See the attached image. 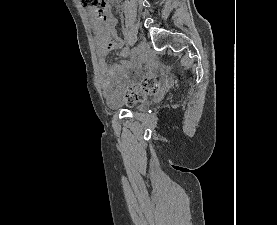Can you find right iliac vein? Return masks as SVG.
I'll use <instances>...</instances> for the list:
<instances>
[{
	"mask_svg": "<svg viewBox=\"0 0 277 225\" xmlns=\"http://www.w3.org/2000/svg\"><path fill=\"white\" fill-rule=\"evenodd\" d=\"M148 45L146 42L141 41L138 45V57L140 61H144L147 55Z\"/></svg>",
	"mask_w": 277,
	"mask_h": 225,
	"instance_id": "63e3f726",
	"label": "right iliac vein"
}]
</instances>
